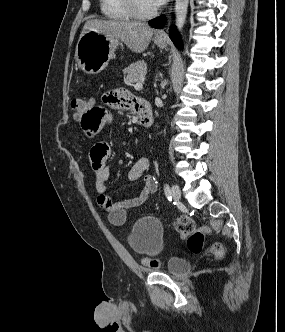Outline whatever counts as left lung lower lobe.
Returning a JSON list of instances; mask_svg holds the SVG:
<instances>
[{"mask_svg": "<svg viewBox=\"0 0 285 332\" xmlns=\"http://www.w3.org/2000/svg\"><path fill=\"white\" fill-rule=\"evenodd\" d=\"M166 21V17L160 16L159 18H156L152 21H150V25L154 28H162L163 25L165 24ZM170 38L172 39V41L174 42V44L181 49V40H180V36L176 31V28L174 26L171 27L170 29Z\"/></svg>", "mask_w": 285, "mask_h": 332, "instance_id": "left-lung-lower-lobe-1", "label": "left lung lower lobe"}]
</instances>
